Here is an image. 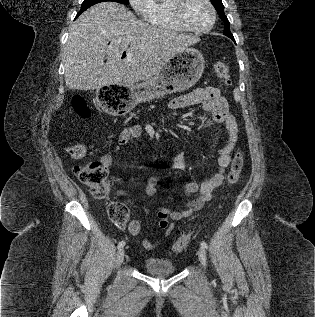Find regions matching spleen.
<instances>
[{
    "instance_id": "spleen-1",
    "label": "spleen",
    "mask_w": 315,
    "mask_h": 317,
    "mask_svg": "<svg viewBox=\"0 0 315 317\" xmlns=\"http://www.w3.org/2000/svg\"><path fill=\"white\" fill-rule=\"evenodd\" d=\"M234 97L236 100H240V92L238 89H235L234 90Z\"/></svg>"
}]
</instances>
